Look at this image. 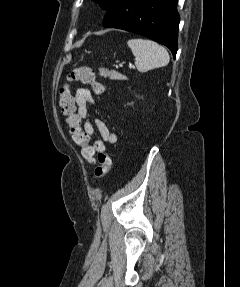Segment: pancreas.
Wrapping results in <instances>:
<instances>
[{"label": "pancreas", "instance_id": "1", "mask_svg": "<svg viewBox=\"0 0 240 287\" xmlns=\"http://www.w3.org/2000/svg\"><path fill=\"white\" fill-rule=\"evenodd\" d=\"M100 76L104 78H110L112 80H122L123 76L115 71H107L105 69H100L99 70Z\"/></svg>", "mask_w": 240, "mask_h": 287}]
</instances>
